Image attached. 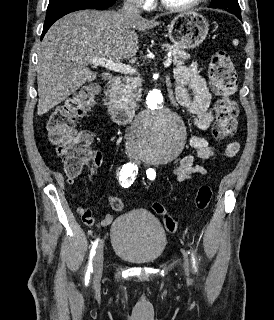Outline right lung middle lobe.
<instances>
[{"label": "right lung middle lobe", "instance_id": "obj_1", "mask_svg": "<svg viewBox=\"0 0 274 320\" xmlns=\"http://www.w3.org/2000/svg\"><path fill=\"white\" fill-rule=\"evenodd\" d=\"M78 1H82V0H50L48 5V10L62 6L66 3L78 2Z\"/></svg>", "mask_w": 274, "mask_h": 320}]
</instances>
